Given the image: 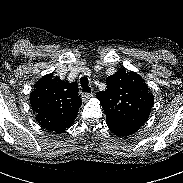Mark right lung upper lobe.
<instances>
[{"instance_id": "obj_1", "label": "right lung upper lobe", "mask_w": 183, "mask_h": 183, "mask_svg": "<svg viewBox=\"0 0 183 183\" xmlns=\"http://www.w3.org/2000/svg\"><path fill=\"white\" fill-rule=\"evenodd\" d=\"M52 75L47 74L36 82L30 103L41 127L62 133L73 124L82 102L76 82L68 83Z\"/></svg>"}]
</instances>
